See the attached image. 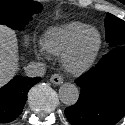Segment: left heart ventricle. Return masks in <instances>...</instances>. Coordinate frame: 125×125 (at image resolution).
I'll list each match as a JSON object with an SVG mask.
<instances>
[{
  "label": "left heart ventricle",
  "mask_w": 125,
  "mask_h": 125,
  "mask_svg": "<svg viewBox=\"0 0 125 125\" xmlns=\"http://www.w3.org/2000/svg\"><path fill=\"white\" fill-rule=\"evenodd\" d=\"M97 34L93 31L86 33L81 39L74 58L76 61L84 60L97 44Z\"/></svg>",
  "instance_id": "obj_1"
}]
</instances>
